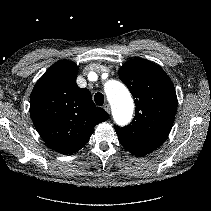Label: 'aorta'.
Here are the masks:
<instances>
[{"label":"aorta","mask_w":211,"mask_h":211,"mask_svg":"<svg viewBox=\"0 0 211 211\" xmlns=\"http://www.w3.org/2000/svg\"><path fill=\"white\" fill-rule=\"evenodd\" d=\"M105 92L114 103V118L116 121L121 125L127 124L131 120L134 110L133 100L129 91L122 83L110 80L105 84Z\"/></svg>","instance_id":"1"}]
</instances>
